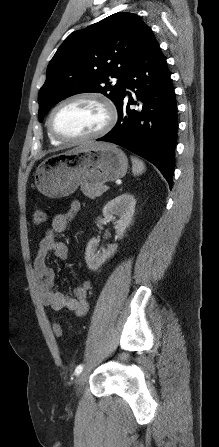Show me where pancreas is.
<instances>
[{
	"mask_svg": "<svg viewBox=\"0 0 219 447\" xmlns=\"http://www.w3.org/2000/svg\"><path fill=\"white\" fill-rule=\"evenodd\" d=\"M81 191L85 196L93 199L101 196L106 191V188L103 184H85L81 186Z\"/></svg>",
	"mask_w": 219,
	"mask_h": 447,
	"instance_id": "1",
	"label": "pancreas"
}]
</instances>
